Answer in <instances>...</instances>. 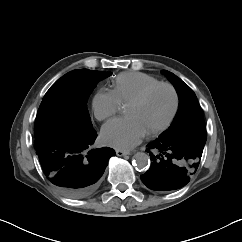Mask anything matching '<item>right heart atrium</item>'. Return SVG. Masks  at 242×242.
I'll list each match as a JSON object with an SVG mask.
<instances>
[{
    "mask_svg": "<svg viewBox=\"0 0 242 242\" xmlns=\"http://www.w3.org/2000/svg\"><path fill=\"white\" fill-rule=\"evenodd\" d=\"M121 108V101L116 93L107 88H100L92 99V111L96 119L102 121L112 117Z\"/></svg>",
    "mask_w": 242,
    "mask_h": 242,
    "instance_id": "right-heart-atrium-1",
    "label": "right heart atrium"
}]
</instances>
